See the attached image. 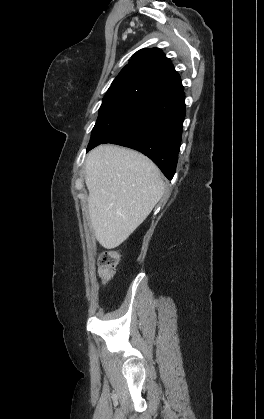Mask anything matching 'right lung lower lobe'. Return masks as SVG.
Listing matches in <instances>:
<instances>
[{"instance_id":"right-lung-lower-lobe-1","label":"right lung lower lobe","mask_w":264,"mask_h":419,"mask_svg":"<svg viewBox=\"0 0 264 419\" xmlns=\"http://www.w3.org/2000/svg\"><path fill=\"white\" fill-rule=\"evenodd\" d=\"M183 90L145 101L134 116L104 143L138 150L171 180L175 174L185 117Z\"/></svg>"}]
</instances>
